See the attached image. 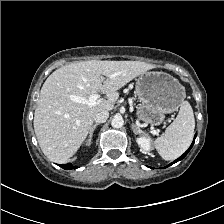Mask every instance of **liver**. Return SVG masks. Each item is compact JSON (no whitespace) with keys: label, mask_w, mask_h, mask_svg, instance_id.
I'll return each mask as SVG.
<instances>
[{"label":"liver","mask_w":224,"mask_h":224,"mask_svg":"<svg viewBox=\"0 0 224 224\" xmlns=\"http://www.w3.org/2000/svg\"><path fill=\"white\" fill-rule=\"evenodd\" d=\"M155 65L141 61H80L54 71L44 82L34 113V130L44 155L65 163L86 139L100 111H111L118 90ZM105 76V79H102ZM104 92L107 99L95 106L74 102L70 96L85 99Z\"/></svg>","instance_id":"obj_1"}]
</instances>
